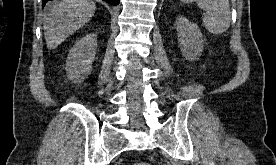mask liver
<instances>
[{
	"instance_id": "obj_1",
	"label": "liver",
	"mask_w": 276,
	"mask_h": 165,
	"mask_svg": "<svg viewBox=\"0 0 276 165\" xmlns=\"http://www.w3.org/2000/svg\"><path fill=\"white\" fill-rule=\"evenodd\" d=\"M91 0H54L46 6L43 21L47 48L55 49L67 37L84 26L95 13Z\"/></svg>"
}]
</instances>
